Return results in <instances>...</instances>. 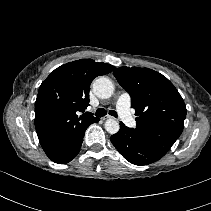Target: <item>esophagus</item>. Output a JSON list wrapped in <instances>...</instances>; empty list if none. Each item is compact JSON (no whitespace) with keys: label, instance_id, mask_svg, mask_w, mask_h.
<instances>
[{"label":"esophagus","instance_id":"34e87169","mask_svg":"<svg viewBox=\"0 0 211 211\" xmlns=\"http://www.w3.org/2000/svg\"><path fill=\"white\" fill-rule=\"evenodd\" d=\"M112 118H113V117H111V116L107 115V116L103 117V120H106V119H112Z\"/></svg>","mask_w":211,"mask_h":211}]
</instances>
